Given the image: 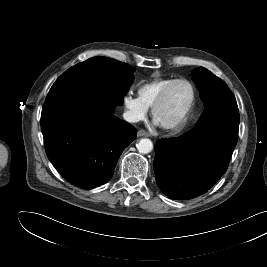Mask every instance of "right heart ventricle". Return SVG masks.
<instances>
[{"instance_id":"e07e8e85","label":"right heart ventricle","mask_w":267,"mask_h":267,"mask_svg":"<svg viewBox=\"0 0 267 267\" xmlns=\"http://www.w3.org/2000/svg\"><path fill=\"white\" fill-rule=\"evenodd\" d=\"M176 78H155L140 85L138 96L147 107L152 106L159 93Z\"/></svg>"}]
</instances>
